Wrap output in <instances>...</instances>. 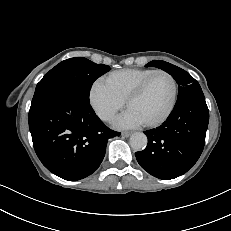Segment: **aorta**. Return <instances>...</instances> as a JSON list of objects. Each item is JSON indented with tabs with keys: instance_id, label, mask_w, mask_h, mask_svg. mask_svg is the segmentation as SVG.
<instances>
[{
	"instance_id": "obj_1",
	"label": "aorta",
	"mask_w": 231,
	"mask_h": 231,
	"mask_svg": "<svg viewBox=\"0 0 231 231\" xmlns=\"http://www.w3.org/2000/svg\"><path fill=\"white\" fill-rule=\"evenodd\" d=\"M147 137L142 132H135L130 137V145L134 150L140 151L147 146Z\"/></svg>"
}]
</instances>
